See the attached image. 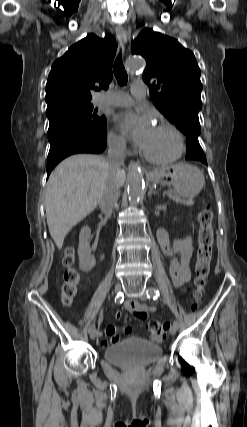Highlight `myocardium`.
<instances>
[{
  "instance_id": "myocardium-1",
  "label": "myocardium",
  "mask_w": 247,
  "mask_h": 427,
  "mask_svg": "<svg viewBox=\"0 0 247 427\" xmlns=\"http://www.w3.org/2000/svg\"><path fill=\"white\" fill-rule=\"evenodd\" d=\"M157 127L160 128H165L167 130H169L175 140H176V149L174 151V153L170 156L167 157H155L150 155L149 153H147L144 150H141V154L142 156L149 162L154 163V164H159V165H165V164H170L173 163L175 161H177L183 154L184 152V138L182 133L180 132V130L174 126L173 124L169 123V122H160Z\"/></svg>"
}]
</instances>
